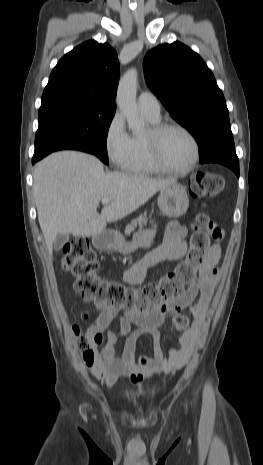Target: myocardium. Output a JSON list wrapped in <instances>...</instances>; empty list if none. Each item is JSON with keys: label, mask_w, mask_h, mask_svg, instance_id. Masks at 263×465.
<instances>
[{"label": "myocardium", "mask_w": 263, "mask_h": 465, "mask_svg": "<svg viewBox=\"0 0 263 465\" xmlns=\"http://www.w3.org/2000/svg\"><path fill=\"white\" fill-rule=\"evenodd\" d=\"M171 129L180 130L185 133L191 140L194 147V156L190 164L184 168H177L169 165L162 154V137ZM145 139L151 158L155 165L164 172L174 174H184L192 171L197 165L200 158V145L195 135L184 125L176 122H159L153 125L145 134Z\"/></svg>", "instance_id": "1"}]
</instances>
